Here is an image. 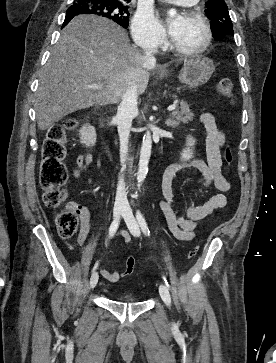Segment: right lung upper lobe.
I'll use <instances>...</instances> for the list:
<instances>
[{"mask_svg":"<svg viewBox=\"0 0 276 363\" xmlns=\"http://www.w3.org/2000/svg\"><path fill=\"white\" fill-rule=\"evenodd\" d=\"M107 1H115V2H130L131 0H107Z\"/></svg>","mask_w":276,"mask_h":363,"instance_id":"right-lung-upper-lobe-1","label":"right lung upper lobe"}]
</instances>
